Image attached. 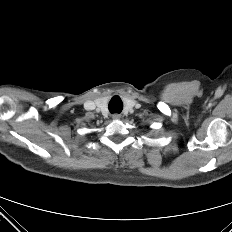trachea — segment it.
Returning <instances> with one entry per match:
<instances>
[{
  "instance_id": "trachea-1",
  "label": "trachea",
  "mask_w": 232,
  "mask_h": 232,
  "mask_svg": "<svg viewBox=\"0 0 232 232\" xmlns=\"http://www.w3.org/2000/svg\"><path fill=\"white\" fill-rule=\"evenodd\" d=\"M108 108L111 113H120L123 109V103L119 97L115 96L110 101Z\"/></svg>"
}]
</instances>
